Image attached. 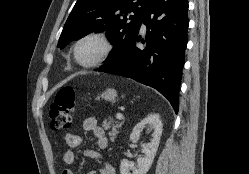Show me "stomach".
I'll list each match as a JSON object with an SVG mask.
<instances>
[{"instance_id": "obj_1", "label": "stomach", "mask_w": 249, "mask_h": 174, "mask_svg": "<svg viewBox=\"0 0 249 174\" xmlns=\"http://www.w3.org/2000/svg\"><path fill=\"white\" fill-rule=\"evenodd\" d=\"M101 98L107 100V101H114L117 97V92L115 89H107L106 91H104L101 95Z\"/></svg>"}]
</instances>
